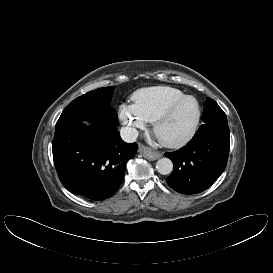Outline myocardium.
<instances>
[{
    "instance_id": "f54148a6",
    "label": "myocardium",
    "mask_w": 273,
    "mask_h": 273,
    "mask_svg": "<svg viewBox=\"0 0 273 273\" xmlns=\"http://www.w3.org/2000/svg\"><path fill=\"white\" fill-rule=\"evenodd\" d=\"M186 100L194 101L196 104V108H197L196 118H195L190 130L184 136H182L181 138H179L177 140L168 141V140H164V139L160 138L158 135V131H159V128L162 125V123L166 119L169 118V116L172 114V112L174 111V109L177 106H179L181 103H183ZM200 120H201V107H200L199 102L193 96L184 95L181 98H178V99L174 100L173 102H171L170 104H168L166 106V108L156 117V119L154 120V124H153V131H154V134L159 139V141L164 146L169 147V148H181L193 139V137L195 136V134L198 130Z\"/></svg>"
}]
</instances>
